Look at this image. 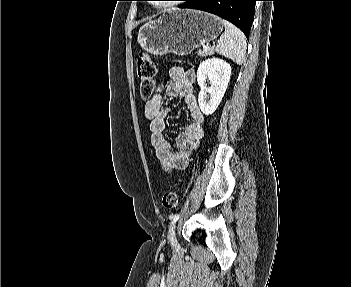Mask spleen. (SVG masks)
<instances>
[{"mask_svg": "<svg viewBox=\"0 0 351 287\" xmlns=\"http://www.w3.org/2000/svg\"><path fill=\"white\" fill-rule=\"evenodd\" d=\"M222 24L225 27V31L217 43L216 52L241 65L245 59L247 46L245 35L240 29L226 20H222Z\"/></svg>", "mask_w": 351, "mask_h": 287, "instance_id": "obj_1", "label": "spleen"}]
</instances>
